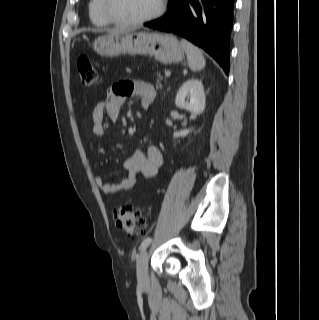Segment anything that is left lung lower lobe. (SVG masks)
I'll return each mask as SVG.
<instances>
[{
    "label": "left lung lower lobe",
    "instance_id": "1",
    "mask_svg": "<svg viewBox=\"0 0 319 320\" xmlns=\"http://www.w3.org/2000/svg\"><path fill=\"white\" fill-rule=\"evenodd\" d=\"M234 0H169L162 17L146 27L172 32L203 48L229 73Z\"/></svg>",
    "mask_w": 319,
    "mask_h": 320
}]
</instances>
